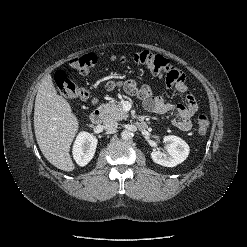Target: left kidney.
Wrapping results in <instances>:
<instances>
[{
	"instance_id": "obj_1",
	"label": "left kidney",
	"mask_w": 247,
	"mask_h": 247,
	"mask_svg": "<svg viewBox=\"0 0 247 247\" xmlns=\"http://www.w3.org/2000/svg\"><path fill=\"white\" fill-rule=\"evenodd\" d=\"M167 153L154 149L151 152L152 160L165 167H175L182 163L189 155L190 148L188 144L180 137L168 135L163 138Z\"/></svg>"
}]
</instances>
